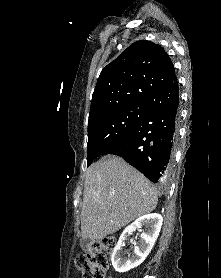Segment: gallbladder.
I'll use <instances>...</instances> for the list:
<instances>
[{"instance_id":"bac80fb5","label":"gallbladder","mask_w":221,"mask_h":278,"mask_svg":"<svg viewBox=\"0 0 221 278\" xmlns=\"http://www.w3.org/2000/svg\"><path fill=\"white\" fill-rule=\"evenodd\" d=\"M81 247L83 248V249H87L89 246H90V244H91V240L90 239H82L81 240Z\"/></svg>"}]
</instances>
